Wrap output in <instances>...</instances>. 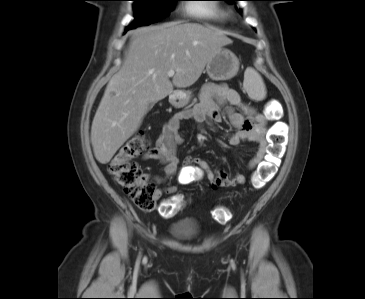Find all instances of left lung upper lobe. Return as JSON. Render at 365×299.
I'll return each instance as SVG.
<instances>
[{
  "instance_id": "1",
  "label": "left lung upper lobe",
  "mask_w": 365,
  "mask_h": 299,
  "mask_svg": "<svg viewBox=\"0 0 365 299\" xmlns=\"http://www.w3.org/2000/svg\"><path fill=\"white\" fill-rule=\"evenodd\" d=\"M228 1L229 3H233L234 1H239V0H225ZM239 12H241L240 10H238Z\"/></svg>"
}]
</instances>
